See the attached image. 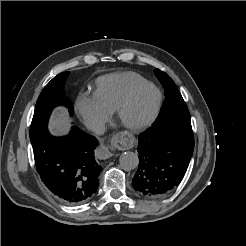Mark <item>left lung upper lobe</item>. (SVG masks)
I'll list each match as a JSON object with an SVG mask.
<instances>
[{
	"instance_id": "1",
	"label": "left lung upper lobe",
	"mask_w": 246,
	"mask_h": 246,
	"mask_svg": "<svg viewBox=\"0 0 246 246\" xmlns=\"http://www.w3.org/2000/svg\"><path fill=\"white\" fill-rule=\"evenodd\" d=\"M154 73L165 89V101L159 116L152 126L191 123V117L187 105L174 81L165 72L159 69H155Z\"/></svg>"
}]
</instances>
